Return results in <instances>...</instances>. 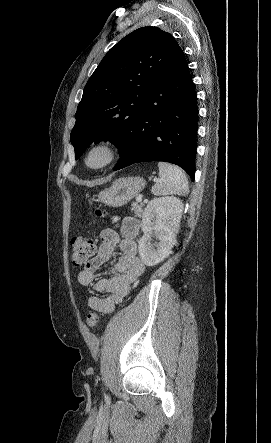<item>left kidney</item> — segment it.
<instances>
[{
  "instance_id": "5707ae66",
  "label": "left kidney",
  "mask_w": 271,
  "mask_h": 443,
  "mask_svg": "<svg viewBox=\"0 0 271 443\" xmlns=\"http://www.w3.org/2000/svg\"><path fill=\"white\" fill-rule=\"evenodd\" d=\"M183 212L182 200L178 198H154L145 208L142 216V231L144 235L139 239V253L145 265H157L171 253L176 243V233L180 227ZM153 220V222H152ZM154 225V227H152ZM152 229L159 239L155 247L150 243Z\"/></svg>"
}]
</instances>
